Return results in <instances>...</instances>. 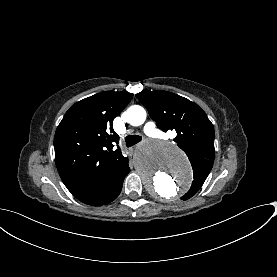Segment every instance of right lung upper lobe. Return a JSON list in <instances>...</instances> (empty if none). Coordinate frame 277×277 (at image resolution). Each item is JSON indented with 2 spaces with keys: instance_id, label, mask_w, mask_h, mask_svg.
<instances>
[{
  "instance_id": "right-lung-upper-lobe-1",
  "label": "right lung upper lobe",
  "mask_w": 277,
  "mask_h": 277,
  "mask_svg": "<svg viewBox=\"0 0 277 277\" xmlns=\"http://www.w3.org/2000/svg\"><path fill=\"white\" fill-rule=\"evenodd\" d=\"M132 97L129 92L95 94L72 105L58 125L56 167L77 199L103 184L127 160L119 147L113 148L119 136L112 121Z\"/></svg>"
}]
</instances>
